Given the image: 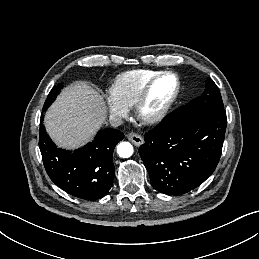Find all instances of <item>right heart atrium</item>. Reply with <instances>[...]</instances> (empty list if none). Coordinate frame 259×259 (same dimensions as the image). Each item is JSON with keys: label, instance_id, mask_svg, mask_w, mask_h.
Segmentation results:
<instances>
[{"label": "right heart atrium", "instance_id": "d8ad5b80", "mask_svg": "<svg viewBox=\"0 0 259 259\" xmlns=\"http://www.w3.org/2000/svg\"><path fill=\"white\" fill-rule=\"evenodd\" d=\"M106 105L113 117L123 118L128 114V108L120 103L112 95L106 97Z\"/></svg>", "mask_w": 259, "mask_h": 259}]
</instances>
